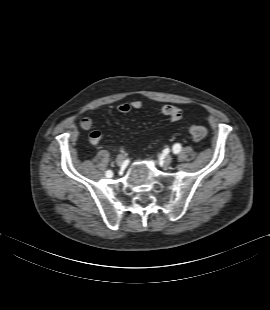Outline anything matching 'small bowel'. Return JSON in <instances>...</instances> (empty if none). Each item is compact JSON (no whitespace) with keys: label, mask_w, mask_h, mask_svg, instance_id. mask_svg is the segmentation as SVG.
Instances as JSON below:
<instances>
[{"label":"small bowel","mask_w":270,"mask_h":310,"mask_svg":"<svg viewBox=\"0 0 270 310\" xmlns=\"http://www.w3.org/2000/svg\"><path fill=\"white\" fill-rule=\"evenodd\" d=\"M142 107L143 103L140 100H133L129 103L119 104L116 107L115 111L126 114L132 110H140ZM158 111L159 113L167 116L172 121H178L182 116L181 110L178 107L170 104L160 107ZM112 112L113 110L110 111V113ZM92 126H93V120L90 117H84L83 119H81L80 127L82 129L89 130L92 128ZM89 139L92 145H98L102 141L103 135L100 131L94 130L90 133Z\"/></svg>","instance_id":"1"}]
</instances>
